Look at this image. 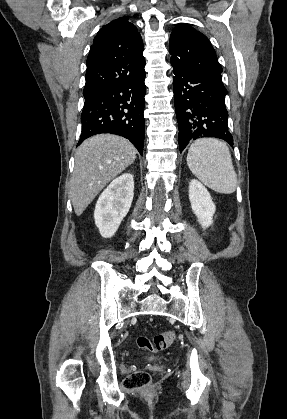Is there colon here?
<instances>
[{
    "label": "colon",
    "mask_w": 287,
    "mask_h": 419,
    "mask_svg": "<svg viewBox=\"0 0 287 419\" xmlns=\"http://www.w3.org/2000/svg\"><path fill=\"white\" fill-rule=\"evenodd\" d=\"M175 341L173 331H165L156 335L153 339L146 336H138L137 347L141 351L159 352L171 346ZM150 383V376L145 371H136L130 374L124 381L126 389H137L146 387Z\"/></svg>",
    "instance_id": "colon-1"
}]
</instances>
